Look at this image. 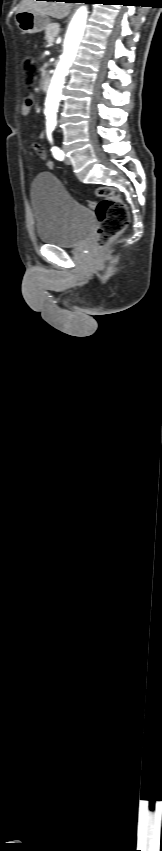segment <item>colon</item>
Wrapping results in <instances>:
<instances>
[{"label": "colon", "mask_w": 162, "mask_h": 851, "mask_svg": "<svg viewBox=\"0 0 162 851\" xmlns=\"http://www.w3.org/2000/svg\"><path fill=\"white\" fill-rule=\"evenodd\" d=\"M38 74V67L34 59L25 55L23 59V76L27 86H32ZM96 195L100 198L97 202H90L94 208L99 224L96 231L95 247L102 250L114 237L124 231L129 222V211L121 199L119 192L109 186L96 189Z\"/></svg>", "instance_id": "obj_1"}]
</instances>
